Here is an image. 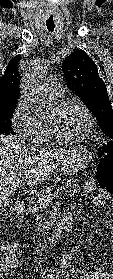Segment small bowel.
Instances as JSON below:
<instances>
[{
  "label": "small bowel",
  "instance_id": "c3829d8e",
  "mask_svg": "<svg viewBox=\"0 0 113 279\" xmlns=\"http://www.w3.org/2000/svg\"><path fill=\"white\" fill-rule=\"evenodd\" d=\"M95 189V184L93 181H87L84 184V193H91ZM107 201L113 202V197L107 194H100L96 196L93 200L95 205H103ZM18 262H11L10 266L16 267ZM72 278L73 279H113V273L107 271L104 268H97L92 272H84L80 269L72 270Z\"/></svg>",
  "mask_w": 113,
  "mask_h": 279
}]
</instances>
